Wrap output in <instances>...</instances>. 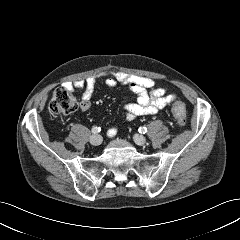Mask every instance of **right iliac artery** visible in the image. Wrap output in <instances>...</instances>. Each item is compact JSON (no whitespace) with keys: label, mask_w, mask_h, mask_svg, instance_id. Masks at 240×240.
Here are the masks:
<instances>
[{"label":"right iliac artery","mask_w":240,"mask_h":240,"mask_svg":"<svg viewBox=\"0 0 240 240\" xmlns=\"http://www.w3.org/2000/svg\"><path fill=\"white\" fill-rule=\"evenodd\" d=\"M91 131L93 134H96L101 131V128L96 126V127H93Z\"/></svg>","instance_id":"right-iliac-artery-1"}]
</instances>
